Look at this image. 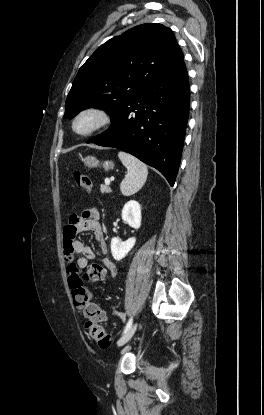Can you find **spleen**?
<instances>
[{"label":"spleen","instance_id":"obj_1","mask_svg":"<svg viewBox=\"0 0 264 415\" xmlns=\"http://www.w3.org/2000/svg\"><path fill=\"white\" fill-rule=\"evenodd\" d=\"M118 157L128 172L120 184V190L125 196L133 195L145 184L148 168L143 162L128 153L120 151Z\"/></svg>","mask_w":264,"mask_h":415}]
</instances>
